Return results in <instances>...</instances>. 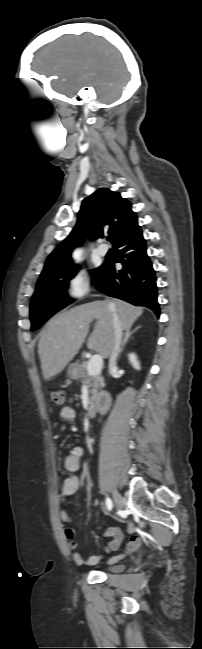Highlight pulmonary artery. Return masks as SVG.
Instances as JSON below:
<instances>
[{"mask_svg": "<svg viewBox=\"0 0 202 649\" xmlns=\"http://www.w3.org/2000/svg\"><path fill=\"white\" fill-rule=\"evenodd\" d=\"M98 253L105 256L108 253V247L105 244H100L98 246Z\"/></svg>", "mask_w": 202, "mask_h": 649, "instance_id": "obj_1", "label": "pulmonary artery"}]
</instances>
